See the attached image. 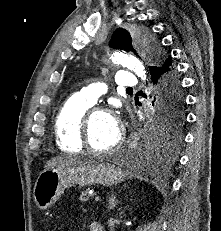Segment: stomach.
Segmentation results:
<instances>
[{
    "mask_svg": "<svg viewBox=\"0 0 221 231\" xmlns=\"http://www.w3.org/2000/svg\"><path fill=\"white\" fill-rule=\"evenodd\" d=\"M126 172L113 162L82 163L44 170L38 176L33 197L40 210H46L71 184L113 186L124 181Z\"/></svg>",
    "mask_w": 221,
    "mask_h": 231,
    "instance_id": "1",
    "label": "stomach"
}]
</instances>
